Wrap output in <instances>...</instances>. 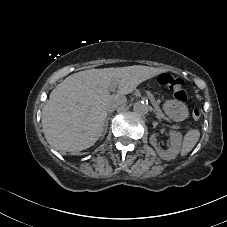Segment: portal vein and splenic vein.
Returning <instances> with one entry per match:
<instances>
[{
	"label": "portal vein and splenic vein",
	"instance_id": "portal-vein-and-splenic-vein-1",
	"mask_svg": "<svg viewBox=\"0 0 227 227\" xmlns=\"http://www.w3.org/2000/svg\"><path fill=\"white\" fill-rule=\"evenodd\" d=\"M149 97H150V100H151V104L153 105L154 108H156V110L158 112L161 111V109L158 107V104H157V101L155 100V97L153 96V93L152 92H149L148 90L145 92ZM160 118L164 117L163 114L160 112L159 115H158ZM164 120L166 119L165 117L163 118ZM170 123L172 122L171 120L169 121Z\"/></svg>",
	"mask_w": 227,
	"mask_h": 227
}]
</instances>
